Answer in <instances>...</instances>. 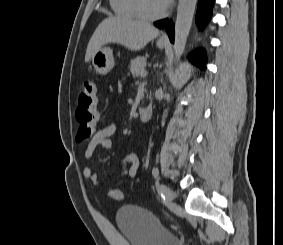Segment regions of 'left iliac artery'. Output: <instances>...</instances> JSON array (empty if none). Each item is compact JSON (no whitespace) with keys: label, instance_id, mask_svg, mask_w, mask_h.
Returning a JSON list of instances; mask_svg holds the SVG:
<instances>
[{"label":"left iliac artery","instance_id":"left-iliac-artery-1","mask_svg":"<svg viewBox=\"0 0 283 245\" xmlns=\"http://www.w3.org/2000/svg\"><path fill=\"white\" fill-rule=\"evenodd\" d=\"M152 175L155 179H157L156 184H157V186H159V182H158L159 170H158V168L154 167L152 169Z\"/></svg>","mask_w":283,"mask_h":245}]
</instances>
